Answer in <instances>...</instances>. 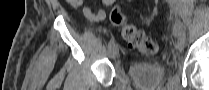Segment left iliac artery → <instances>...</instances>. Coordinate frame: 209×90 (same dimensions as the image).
<instances>
[{"label": "left iliac artery", "instance_id": "44dca946", "mask_svg": "<svg viewBox=\"0 0 209 90\" xmlns=\"http://www.w3.org/2000/svg\"><path fill=\"white\" fill-rule=\"evenodd\" d=\"M171 4L172 8V13L174 14L175 17L181 18V13H180V5L178 0H169L168 1Z\"/></svg>", "mask_w": 209, "mask_h": 90}]
</instances>
